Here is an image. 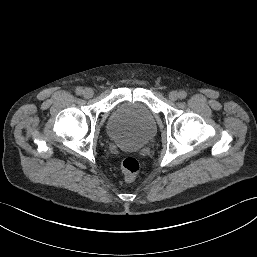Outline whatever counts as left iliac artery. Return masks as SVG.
<instances>
[{"instance_id":"1","label":"left iliac artery","mask_w":257,"mask_h":257,"mask_svg":"<svg viewBox=\"0 0 257 257\" xmlns=\"http://www.w3.org/2000/svg\"><path fill=\"white\" fill-rule=\"evenodd\" d=\"M186 96H187V93H186L185 91L179 92V98H180V99H185Z\"/></svg>"}]
</instances>
